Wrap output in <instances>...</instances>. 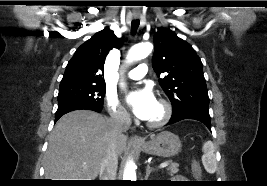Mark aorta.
<instances>
[{"instance_id":"1","label":"aorta","mask_w":267,"mask_h":186,"mask_svg":"<svg viewBox=\"0 0 267 186\" xmlns=\"http://www.w3.org/2000/svg\"><path fill=\"white\" fill-rule=\"evenodd\" d=\"M152 49H153V46L149 42L136 44L130 49L127 55V61L133 62V61L144 59L152 52ZM123 180L136 181V171H135V165L133 162L127 163L124 173H123Z\"/></svg>"}]
</instances>
